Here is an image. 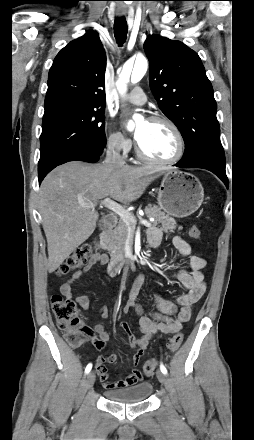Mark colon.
<instances>
[{
	"label": "colon",
	"instance_id": "5ec220e1",
	"mask_svg": "<svg viewBox=\"0 0 254 440\" xmlns=\"http://www.w3.org/2000/svg\"><path fill=\"white\" fill-rule=\"evenodd\" d=\"M190 236L196 240L202 238V232L199 227L192 226L190 228ZM92 254L90 245L85 244L78 247L69 257L59 265L57 272L59 274H67L74 269L84 265ZM51 307L54 314L57 327L65 333L67 343L72 347L82 345L87 338L93 333L86 327L78 317V308L74 301L66 298L62 294H54L51 299ZM183 334H175L168 345L167 353H175L181 346ZM157 368V360L150 359L145 362L143 370L146 375H152Z\"/></svg>",
	"mask_w": 254,
	"mask_h": 440
}]
</instances>
